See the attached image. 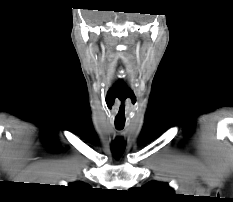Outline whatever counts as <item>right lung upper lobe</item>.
<instances>
[{
	"mask_svg": "<svg viewBox=\"0 0 233 202\" xmlns=\"http://www.w3.org/2000/svg\"><path fill=\"white\" fill-rule=\"evenodd\" d=\"M72 185L77 186V185H85V184L79 182V183H74Z\"/></svg>",
	"mask_w": 233,
	"mask_h": 202,
	"instance_id": "right-lung-upper-lobe-1",
	"label": "right lung upper lobe"
}]
</instances>
